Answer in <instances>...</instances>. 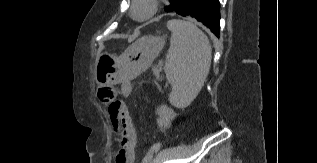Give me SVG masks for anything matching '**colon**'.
I'll return each instance as SVG.
<instances>
[{"mask_svg": "<svg viewBox=\"0 0 317 163\" xmlns=\"http://www.w3.org/2000/svg\"><path fill=\"white\" fill-rule=\"evenodd\" d=\"M97 95L101 102L110 104L109 114L115 123L116 129L120 130L125 118V107L122 102L115 101V89L110 86L101 87Z\"/></svg>", "mask_w": 317, "mask_h": 163, "instance_id": "colon-1", "label": "colon"}]
</instances>
